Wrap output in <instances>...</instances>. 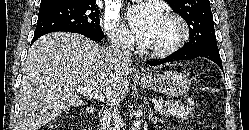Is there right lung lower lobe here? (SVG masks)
<instances>
[{
	"label": "right lung lower lobe",
	"instance_id": "1",
	"mask_svg": "<svg viewBox=\"0 0 249 130\" xmlns=\"http://www.w3.org/2000/svg\"><path fill=\"white\" fill-rule=\"evenodd\" d=\"M67 32L79 33V34H82V35H84V36H86V37H88V38H90V39H92L94 41H98V42L102 40V38H99L97 36H94V35H92V34H90L88 32L82 31V30H68ZM41 36L42 35H34L31 44H33Z\"/></svg>",
	"mask_w": 249,
	"mask_h": 130
}]
</instances>
